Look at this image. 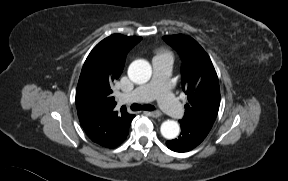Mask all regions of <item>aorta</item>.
Here are the masks:
<instances>
[{
	"instance_id": "762f6f07",
	"label": "aorta",
	"mask_w": 288,
	"mask_h": 181,
	"mask_svg": "<svg viewBox=\"0 0 288 181\" xmlns=\"http://www.w3.org/2000/svg\"><path fill=\"white\" fill-rule=\"evenodd\" d=\"M151 75V65L143 59L133 61L128 68V76L136 84L148 82ZM160 131L164 138L174 139L179 135L180 127L176 121L166 120L161 124Z\"/></svg>"
}]
</instances>
